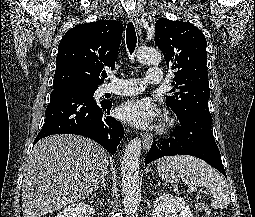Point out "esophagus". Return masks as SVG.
Segmentation results:
<instances>
[{
  "label": "esophagus",
  "mask_w": 255,
  "mask_h": 217,
  "mask_svg": "<svg viewBox=\"0 0 255 217\" xmlns=\"http://www.w3.org/2000/svg\"><path fill=\"white\" fill-rule=\"evenodd\" d=\"M129 18L134 22L137 33L140 35L142 31V25L136 12H129ZM143 147L149 149L153 144V135L150 133L142 134Z\"/></svg>",
  "instance_id": "obj_1"
}]
</instances>
